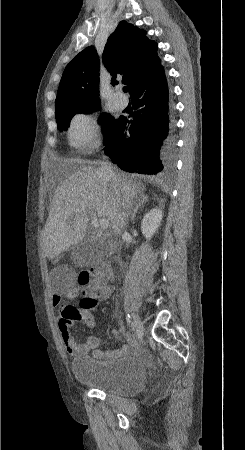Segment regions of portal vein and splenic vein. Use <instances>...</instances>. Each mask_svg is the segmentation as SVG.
<instances>
[{"label":"portal vein and splenic vein","mask_w":245,"mask_h":450,"mask_svg":"<svg viewBox=\"0 0 245 450\" xmlns=\"http://www.w3.org/2000/svg\"><path fill=\"white\" fill-rule=\"evenodd\" d=\"M90 214L92 216V223L95 228H100V229L105 230L109 227V221L107 219L102 218L100 220H97L95 213L90 212Z\"/></svg>","instance_id":"1"}]
</instances>
